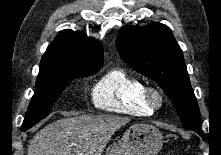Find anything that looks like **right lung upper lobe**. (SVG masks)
<instances>
[{"mask_svg":"<svg viewBox=\"0 0 221 155\" xmlns=\"http://www.w3.org/2000/svg\"><path fill=\"white\" fill-rule=\"evenodd\" d=\"M103 65L100 44L83 32L63 30L42 56L40 70H65Z\"/></svg>","mask_w":221,"mask_h":155,"instance_id":"1","label":"right lung upper lobe"}]
</instances>
